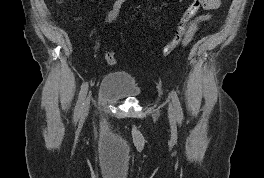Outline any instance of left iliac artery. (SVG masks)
<instances>
[{"instance_id":"left-iliac-artery-1","label":"left iliac artery","mask_w":264,"mask_h":178,"mask_svg":"<svg viewBox=\"0 0 264 178\" xmlns=\"http://www.w3.org/2000/svg\"><path fill=\"white\" fill-rule=\"evenodd\" d=\"M171 97H172V102H173V105H174L176 117H177V119L179 121H181L183 119V113H182V108H181V104H180L179 98H178V96H177L175 91H172Z\"/></svg>"}]
</instances>
